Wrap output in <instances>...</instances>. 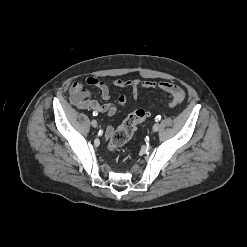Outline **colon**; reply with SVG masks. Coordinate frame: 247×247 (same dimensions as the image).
<instances>
[{"mask_svg":"<svg viewBox=\"0 0 247 247\" xmlns=\"http://www.w3.org/2000/svg\"><path fill=\"white\" fill-rule=\"evenodd\" d=\"M147 117L148 113L144 110H137L129 115L112 135L109 143L110 150H115L126 144L133 137L137 125Z\"/></svg>","mask_w":247,"mask_h":247,"instance_id":"5ec220e1","label":"colon"}]
</instances>
